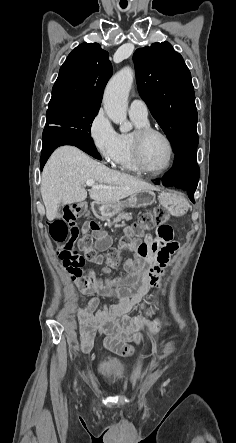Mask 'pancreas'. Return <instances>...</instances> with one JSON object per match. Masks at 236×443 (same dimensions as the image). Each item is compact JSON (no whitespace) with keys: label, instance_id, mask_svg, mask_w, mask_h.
I'll use <instances>...</instances> for the list:
<instances>
[{"label":"pancreas","instance_id":"pancreas-1","mask_svg":"<svg viewBox=\"0 0 236 443\" xmlns=\"http://www.w3.org/2000/svg\"><path fill=\"white\" fill-rule=\"evenodd\" d=\"M131 219H132V214L131 213L122 212V213L118 214V216L115 217L112 222H110L108 220V225L110 226V225H112L114 223H118L121 220H131Z\"/></svg>","mask_w":236,"mask_h":443}]
</instances>
